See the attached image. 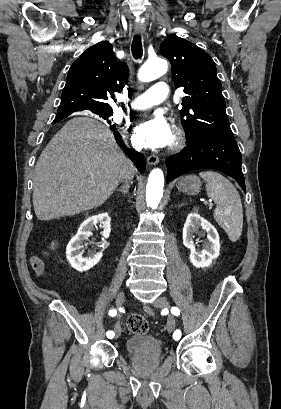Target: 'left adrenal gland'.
Listing matches in <instances>:
<instances>
[{
  "mask_svg": "<svg viewBox=\"0 0 281 409\" xmlns=\"http://www.w3.org/2000/svg\"><path fill=\"white\" fill-rule=\"evenodd\" d=\"M185 205V202H180V207H183Z\"/></svg>",
  "mask_w": 281,
  "mask_h": 409,
  "instance_id": "1",
  "label": "left adrenal gland"
}]
</instances>
